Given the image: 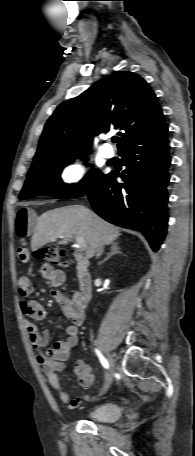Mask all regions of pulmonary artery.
Listing matches in <instances>:
<instances>
[{"label": "pulmonary artery", "instance_id": "obj_1", "mask_svg": "<svg viewBox=\"0 0 195 456\" xmlns=\"http://www.w3.org/2000/svg\"><path fill=\"white\" fill-rule=\"evenodd\" d=\"M101 153L105 158H112L114 155V150L110 144L105 143L101 147Z\"/></svg>", "mask_w": 195, "mask_h": 456}]
</instances>
